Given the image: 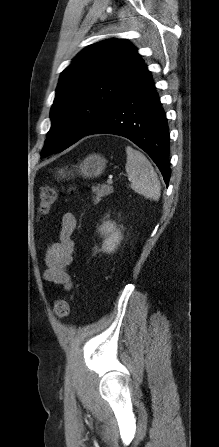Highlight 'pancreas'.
Here are the masks:
<instances>
[{
    "label": "pancreas",
    "mask_w": 219,
    "mask_h": 447,
    "mask_svg": "<svg viewBox=\"0 0 219 447\" xmlns=\"http://www.w3.org/2000/svg\"><path fill=\"white\" fill-rule=\"evenodd\" d=\"M92 191L96 195L93 197L94 204H97L101 201L102 197L113 193V188L108 185H101L100 187H94Z\"/></svg>",
    "instance_id": "obj_1"
}]
</instances>
